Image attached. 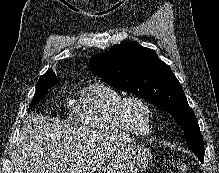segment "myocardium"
<instances>
[{
  "label": "myocardium",
  "mask_w": 219,
  "mask_h": 173,
  "mask_svg": "<svg viewBox=\"0 0 219 173\" xmlns=\"http://www.w3.org/2000/svg\"><path fill=\"white\" fill-rule=\"evenodd\" d=\"M130 102H138L141 105H143L145 109L147 110L149 120H148L146 130L140 131L128 122L126 118L125 110H126L127 104ZM154 116H155V113H154L153 106L150 104V102L147 99L139 95L124 96L118 101V103L115 106V117H116L118 124L124 130H126L127 132H129L130 134L134 136L143 137V136H147L151 134L152 129H153Z\"/></svg>",
  "instance_id": "f54148a6"
}]
</instances>
